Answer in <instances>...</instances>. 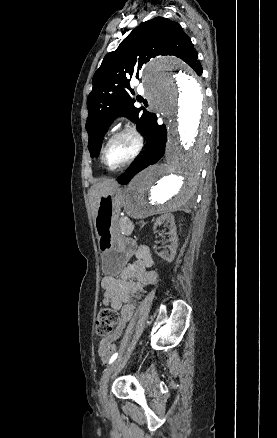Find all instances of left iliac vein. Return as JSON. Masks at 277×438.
I'll use <instances>...</instances> for the list:
<instances>
[{
	"instance_id": "4c4485c4",
	"label": "left iliac vein",
	"mask_w": 277,
	"mask_h": 438,
	"mask_svg": "<svg viewBox=\"0 0 277 438\" xmlns=\"http://www.w3.org/2000/svg\"><path fill=\"white\" fill-rule=\"evenodd\" d=\"M122 359H123L122 357H119L118 359L114 360L111 363V365L109 367H107V369H105V371L100 379L99 398H100V401L104 404H106L108 401V395H107L108 389L107 388H108L109 379H110L112 373L116 370V368L122 362Z\"/></svg>"
}]
</instances>
